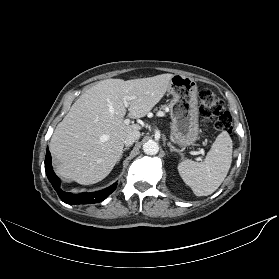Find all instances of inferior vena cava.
I'll return each instance as SVG.
<instances>
[{
    "label": "inferior vena cava",
    "instance_id": "inferior-vena-cava-1",
    "mask_svg": "<svg viewBox=\"0 0 279 279\" xmlns=\"http://www.w3.org/2000/svg\"><path fill=\"white\" fill-rule=\"evenodd\" d=\"M140 138V132L139 131H132L129 132L124 140V144L126 146L132 145L136 140Z\"/></svg>",
    "mask_w": 279,
    "mask_h": 279
}]
</instances>
